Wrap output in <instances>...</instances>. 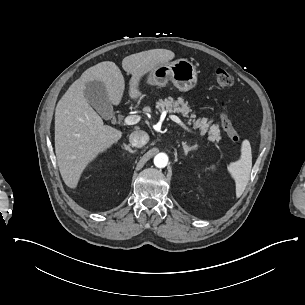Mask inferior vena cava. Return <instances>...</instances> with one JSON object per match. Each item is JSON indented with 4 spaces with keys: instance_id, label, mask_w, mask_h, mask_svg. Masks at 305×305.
Masks as SVG:
<instances>
[{
    "instance_id": "1",
    "label": "inferior vena cava",
    "mask_w": 305,
    "mask_h": 305,
    "mask_svg": "<svg viewBox=\"0 0 305 305\" xmlns=\"http://www.w3.org/2000/svg\"><path fill=\"white\" fill-rule=\"evenodd\" d=\"M129 141L132 146L140 148L149 141V135L142 130L134 131L130 134Z\"/></svg>"
}]
</instances>
